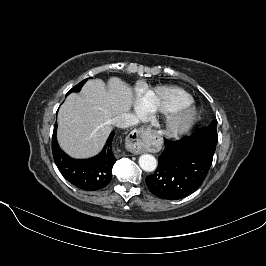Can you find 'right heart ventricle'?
<instances>
[{"label":"right heart ventricle","mask_w":266,"mask_h":266,"mask_svg":"<svg viewBox=\"0 0 266 266\" xmlns=\"http://www.w3.org/2000/svg\"><path fill=\"white\" fill-rule=\"evenodd\" d=\"M192 101L191 95L179 87L160 86L144 93L142 107L151 114H168Z\"/></svg>","instance_id":"obj_1"}]
</instances>
